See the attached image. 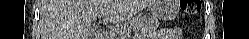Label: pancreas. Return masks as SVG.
<instances>
[{
	"instance_id": "obj_1",
	"label": "pancreas",
	"mask_w": 249,
	"mask_h": 39,
	"mask_svg": "<svg viewBox=\"0 0 249 39\" xmlns=\"http://www.w3.org/2000/svg\"><path fill=\"white\" fill-rule=\"evenodd\" d=\"M137 28L141 36H150L159 26V21L154 17H140L131 22ZM119 39V37H114Z\"/></svg>"
}]
</instances>
